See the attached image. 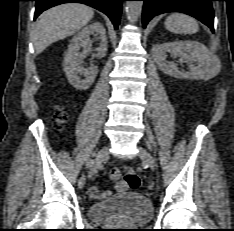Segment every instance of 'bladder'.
I'll list each match as a JSON object with an SVG mask.
<instances>
[{
	"label": "bladder",
	"mask_w": 234,
	"mask_h": 231,
	"mask_svg": "<svg viewBox=\"0 0 234 231\" xmlns=\"http://www.w3.org/2000/svg\"><path fill=\"white\" fill-rule=\"evenodd\" d=\"M92 221L100 224H144L153 216L151 201L139 192H128L88 207Z\"/></svg>",
	"instance_id": "1"
}]
</instances>
